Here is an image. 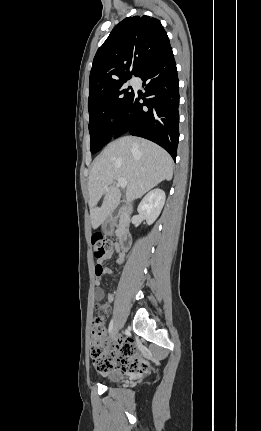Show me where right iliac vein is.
Listing matches in <instances>:
<instances>
[{"instance_id":"1","label":"right iliac vein","mask_w":261,"mask_h":431,"mask_svg":"<svg viewBox=\"0 0 261 431\" xmlns=\"http://www.w3.org/2000/svg\"><path fill=\"white\" fill-rule=\"evenodd\" d=\"M117 332H118V326L115 325L112 329L111 337L114 338L116 336Z\"/></svg>"}]
</instances>
